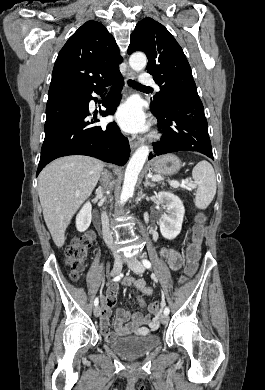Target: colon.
Masks as SVG:
<instances>
[{
	"label": "colon",
	"instance_id": "5ec220e1",
	"mask_svg": "<svg viewBox=\"0 0 265 390\" xmlns=\"http://www.w3.org/2000/svg\"><path fill=\"white\" fill-rule=\"evenodd\" d=\"M203 222L204 216L199 215L197 224L193 229L192 242L186 250L184 275L181 277V282L187 281L197 271L198 261L201 255V244L203 241ZM93 240L94 234L91 231H87L76 237L66 248V263L70 269V276L74 281L79 280L82 275L89 250L93 245ZM163 304V301H155L150 304L149 311L154 315V317L158 318Z\"/></svg>",
	"mask_w": 265,
	"mask_h": 390
}]
</instances>
